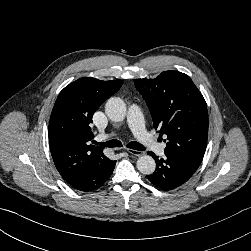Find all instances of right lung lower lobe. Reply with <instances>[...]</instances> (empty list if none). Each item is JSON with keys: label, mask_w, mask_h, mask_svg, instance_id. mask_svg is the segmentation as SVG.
Instances as JSON below:
<instances>
[{"label": "right lung lower lobe", "mask_w": 251, "mask_h": 251, "mask_svg": "<svg viewBox=\"0 0 251 251\" xmlns=\"http://www.w3.org/2000/svg\"><path fill=\"white\" fill-rule=\"evenodd\" d=\"M116 161L106 159L92 167H90L87 172L74 184L77 190L89 192L94 191L101 187L111 176Z\"/></svg>", "instance_id": "98d812e1"}]
</instances>
